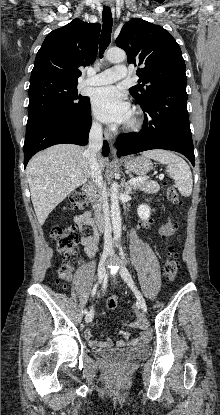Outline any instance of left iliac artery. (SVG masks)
Instances as JSON below:
<instances>
[{
    "instance_id": "44dca946",
    "label": "left iliac artery",
    "mask_w": 220,
    "mask_h": 415,
    "mask_svg": "<svg viewBox=\"0 0 220 415\" xmlns=\"http://www.w3.org/2000/svg\"><path fill=\"white\" fill-rule=\"evenodd\" d=\"M120 254L122 255L123 258H125V253L122 250V247H120Z\"/></svg>"
}]
</instances>
